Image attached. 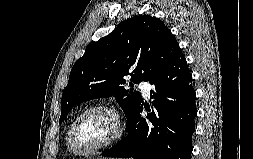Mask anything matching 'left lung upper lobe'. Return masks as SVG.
<instances>
[{
    "label": "left lung upper lobe",
    "instance_id": "obj_1",
    "mask_svg": "<svg viewBox=\"0 0 253 159\" xmlns=\"http://www.w3.org/2000/svg\"><path fill=\"white\" fill-rule=\"evenodd\" d=\"M179 50L173 34L156 17L140 15L121 22L109 35L90 43L74 64L62 94L59 121L76 104L109 96L116 98L128 119L142 98L124 88V77L132 70L133 83L149 81Z\"/></svg>",
    "mask_w": 253,
    "mask_h": 159
}]
</instances>
